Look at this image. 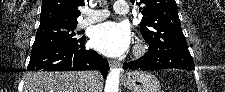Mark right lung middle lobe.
<instances>
[{"instance_id": "1", "label": "right lung middle lobe", "mask_w": 225, "mask_h": 92, "mask_svg": "<svg viewBox=\"0 0 225 92\" xmlns=\"http://www.w3.org/2000/svg\"><path fill=\"white\" fill-rule=\"evenodd\" d=\"M76 26L77 23H47L40 25L32 49L78 41L75 38L78 32L74 31Z\"/></svg>"}]
</instances>
